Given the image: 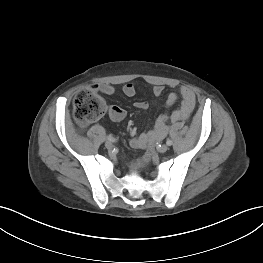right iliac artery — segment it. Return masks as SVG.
<instances>
[{
  "instance_id": "1",
  "label": "right iliac artery",
  "mask_w": 263,
  "mask_h": 263,
  "mask_svg": "<svg viewBox=\"0 0 263 263\" xmlns=\"http://www.w3.org/2000/svg\"><path fill=\"white\" fill-rule=\"evenodd\" d=\"M107 140H109L110 142H115L116 141V139L113 136H111V135L107 136Z\"/></svg>"
}]
</instances>
